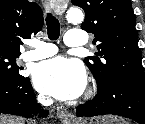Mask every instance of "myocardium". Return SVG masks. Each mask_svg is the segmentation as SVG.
I'll use <instances>...</instances> for the list:
<instances>
[{
    "label": "myocardium",
    "instance_id": "f54148a6",
    "mask_svg": "<svg viewBox=\"0 0 145 124\" xmlns=\"http://www.w3.org/2000/svg\"><path fill=\"white\" fill-rule=\"evenodd\" d=\"M94 92H95V88L94 87H90L89 90H88L87 95L91 96Z\"/></svg>",
    "mask_w": 145,
    "mask_h": 124
}]
</instances>
